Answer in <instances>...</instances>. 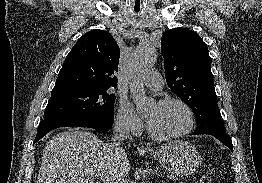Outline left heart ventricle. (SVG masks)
I'll use <instances>...</instances> for the list:
<instances>
[{
  "label": "left heart ventricle",
  "mask_w": 262,
  "mask_h": 183,
  "mask_svg": "<svg viewBox=\"0 0 262 183\" xmlns=\"http://www.w3.org/2000/svg\"><path fill=\"white\" fill-rule=\"evenodd\" d=\"M151 129L157 134L171 135L185 129L189 123L187 111L179 104H154L146 111Z\"/></svg>",
  "instance_id": "left-heart-ventricle-1"
}]
</instances>
